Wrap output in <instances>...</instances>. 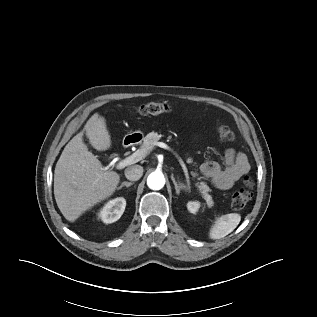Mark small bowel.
Returning a JSON list of instances; mask_svg holds the SVG:
<instances>
[{
  "mask_svg": "<svg viewBox=\"0 0 317 317\" xmlns=\"http://www.w3.org/2000/svg\"><path fill=\"white\" fill-rule=\"evenodd\" d=\"M249 170L246 155L232 148L225 151L223 164L206 161L199 166L202 176L222 190L230 189Z\"/></svg>",
  "mask_w": 317,
  "mask_h": 317,
  "instance_id": "1",
  "label": "small bowel"
}]
</instances>
